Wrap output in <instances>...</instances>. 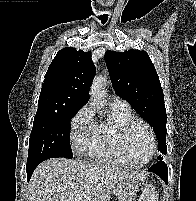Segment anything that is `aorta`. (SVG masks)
I'll use <instances>...</instances> for the list:
<instances>
[{
    "label": "aorta",
    "mask_w": 196,
    "mask_h": 201,
    "mask_svg": "<svg viewBox=\"0 0 196 201\" xmlns=\"http://www.w3.org/2000/svg\"><path fill=\"white\" fill-rule=\"evenodd\" d=\"M106 83V77L97 76L92 84L90 91V99L93 104L99 107L104 106V97L106 94L104 84Z\"/></svg>",
    "instance_id": "762f6f07"
}]
</instances>
